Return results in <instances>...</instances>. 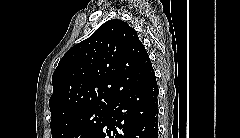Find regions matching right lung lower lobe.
<instances>
[{"instance_id":"1","label":"right lung lower lobe","mask_w":240,"mask_h":138,"mask_svg":"<svg viewBox=\"0 0 240 138\" xmlns=\"http://www.w3.org/2000/svg\"><path fill=\"white\" fill-rule=\"evenodd\" d=\"M158 86L155 75L114 101L92 138H158Z\"/></svg>"}]
</instances>
